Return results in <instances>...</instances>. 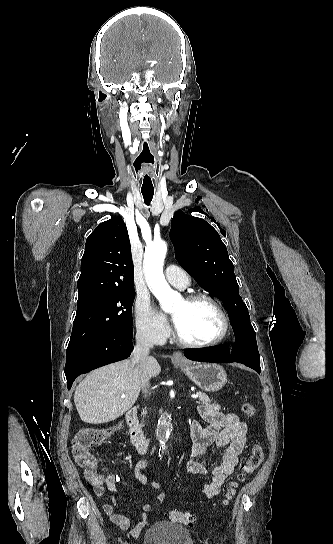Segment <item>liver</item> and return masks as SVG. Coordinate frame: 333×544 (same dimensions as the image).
<instances>
[{"mask_svg": "<svg viewBox=\"0 0 333 544\" xmlns=\"http://www.w3.org/2000/svg\"><path fill=\"white\" fill-rule=\"evenodd\" d=\"M147 370L149 377L160 374L161 367L155 358H149ZM141 389L133 359H128L90 372L77 386L74 402L83 422L103 424L128 411Z\"/></svg>", "mask_w": 333, "mask_h": 544, "instance_id": "1", "label": "liver"}]
</instances>
